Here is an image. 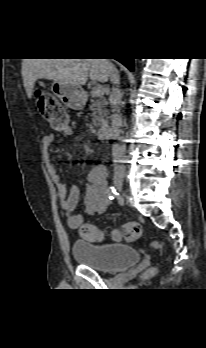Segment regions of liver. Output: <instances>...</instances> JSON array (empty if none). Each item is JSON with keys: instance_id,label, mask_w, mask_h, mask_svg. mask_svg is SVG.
Returning <instances> with one entry per match:
<instances>
[{"instance_id": "6515ba94", "label": "liver", "mask_w": 206, "mask_h": 348, "mask_svg": "<svg viewBox=\"0 0 206 348\" xmlns=\"http://www.w3.org/2000/svg\"><path fill=\"white\" fill-rule=\"evenodd\" d=\"M111 62L107 59H23V85L28 98L33 95L35 82L48 79L81 87L88 77L94 82H106Z\"/></svg>"}]
</instances>
